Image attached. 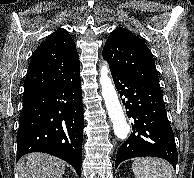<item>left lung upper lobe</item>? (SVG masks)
<instances>
[{"label": "left lung upper lobe", "instance_id": "5c2ea615", "mask_svg": "<svg viewBox=\"0 0 194 178\" xmlns=\"http://www.w3.org/2000/svg\"><path fill=\"white\" fill-rule=\"evenodd\" d=\"M103 57L112 72L160 87L151 51L128 29L120 27L110 34Z\"/></svg>", "mask_w": 194, "mask_h": 178}]
</instances>
